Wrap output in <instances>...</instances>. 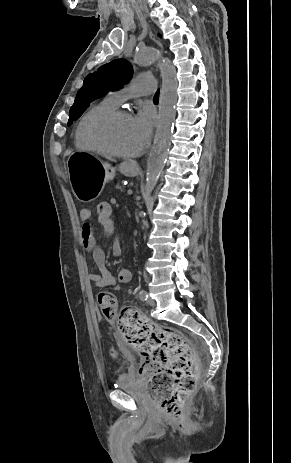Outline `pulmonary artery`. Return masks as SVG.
<instances>
[{
	"instance_id": "pulmonary-artery-1",
	"label": "pulmonary artery",
	"mask_w": 291,
	"mask_h": 463,
	"mask_svg": "<svg viewBox=\"0 0 291 463\" xmlns=\"http://www.w3.org/2000/svg\"><path fill=\"white\" fill-rule=\"evenodd\" d=\"M155 91L156 81L154 77L148 74H139L128 85L112 92L109 98L114 104L119 105L127 99L153 94Z\"/></svg>"
}]
</instances>
